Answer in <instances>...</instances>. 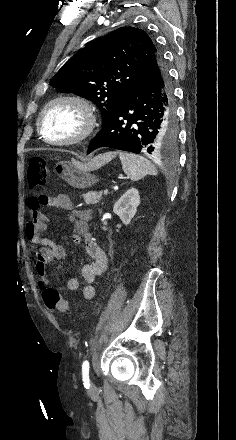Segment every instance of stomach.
I'll return each instance as SVG.
<instances>
[{
    "instance_id": "stomach-1",
    "label": "stomach",
    "mask_w": 236,
    "mask_h": 440,
    "mask_svg": "<svg viewBox=\"0 0 236 440\" xmlns=\"http://www.w3.org/2000/svg\"><path fill=\"white\" fill-rule=\"evenodd\" d=\"M114 156V154H113ZM94 169L89 164L78 161H60L54 166V172L74 188H87L98 182V178L91 173Z\"/></svg>"
}]
</instances>
